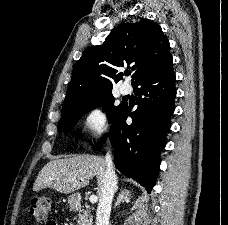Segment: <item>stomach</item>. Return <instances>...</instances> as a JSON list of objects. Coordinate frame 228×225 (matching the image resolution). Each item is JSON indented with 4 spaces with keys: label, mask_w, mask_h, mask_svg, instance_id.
<instances>
[{
    "label": "stomach",
    "mask_w": 228,
    "mask_h": 225,
    "mask_svg": "<svg viewBox=\"0 0 228 225\" xmlns=\"http://www.w3.org/2000/svg\"><path fill=\"white\" fill-rule=\"evenodd\" d=\"M68 203H69L70 209H75L76 205H78L79 203L78 193H74V195H70V197H68Z\"/></svg>",
    "instance_id": "1"
}]
</instances>
